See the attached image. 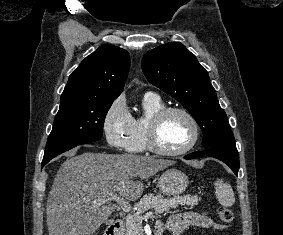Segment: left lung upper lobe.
I'll return each instance as SVG.
<instances>
[{
  "label": "left lung upper lobe",
  "mask_w": 283,
  "mask_h": 235,
  "mask_svg": "<svg viewBox=\"0 0 283 235\" xmlns=\"http://www.w3.org/2000/svg\"><path fill=\"white\" fill-rule=\"evenodd\" d=\"M147 80L179 101L202 129L206 148L235 146L227 116L220 107L207 71L179 42L147 52L142 60Z\"/></svg>",
  "instance_id": "5c2ea615"
}]
</instances>
